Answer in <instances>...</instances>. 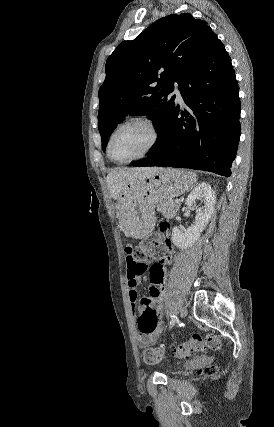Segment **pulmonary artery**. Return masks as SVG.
Instances as JSON below:
<instances>
[{
  "mask_svg": "<svg viewBox=\"0 0 274 427\" xmlns=\"http://www.w3.org/2000/svg\"><path fill=\"white\" fill-rule=\"evenodd\" d=\"M173 95H175V100L177 102H180V103L183 102V97H182L181 91L179 90L178 86H174Z\"/></svg>",
  "mask_w": 274,
  "mask_h": 427,
  "instance_id": "obj_1",
  "label": "pulmonary artery"
}]
</instances>
